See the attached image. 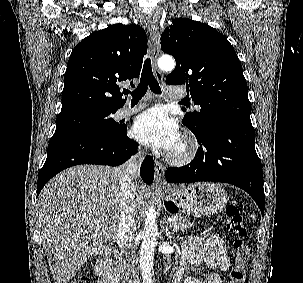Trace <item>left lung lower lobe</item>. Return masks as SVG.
I'll use <instances>...</instances> for the list:
<instances>
[{
	"instance_id": "obj_1",
	"label": "left lung lower lobe",
	"mask_w": 303,
	"mask_h": 283,
	"mask_svg": "<svg viewBox=\"0 0 303 283\" xmlns=\"http://www.w3.org/2000/svg\"><path fill=\"white\" fill-rule=\"evenodd\" d=\"M194 134L200 145L195 158L186 166L168 168L166 181H211L235 185L245 190L264 214L263 172L254 146L251 122L216 121Z\"/></svg>"
}]
</instances>
